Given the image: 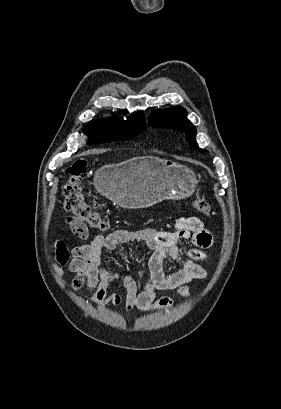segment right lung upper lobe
I'll return each mask as SVG.
<instances>
[{"label":"right lung upper lobe","mask_w":281,"mask_h":409,"mask_svg":"<svg viewBox=\"0 0 281 409\" xmlns=\"http://www.w3.org/2000/svg\"><path fill=\"white\" fill-rule=\"evenodd\" d=\"M145 125V118L143 112L133 113L124 121L119 117H112L109 119H101L86 127H98V128H123L131 126Z\"/></svg>","instance_id":"1"}]
</instances>
